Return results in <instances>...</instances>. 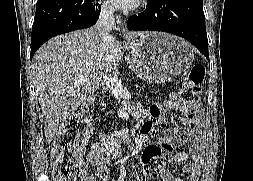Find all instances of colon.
<instances>
[{"label": "colon", "mask_w": 253, "mask_h": 181, "mask_svg": "<svg viewBox=\"0 0 253 181\" xmlns=\"http://www.w3.org/2000/svg\"><path fill=\"white\" fill-rule=\"evenodd\" d=\"M204 76V65L195 63L179 93L181 106L178 112L190 119L193 125L195 121L193 104L201 90ZM90 133V125L81 115L72 116L64 123L51 151L55 181H87L82 152Z\"/></svg>", "instance_id": "colon-1"}]
</instances>
